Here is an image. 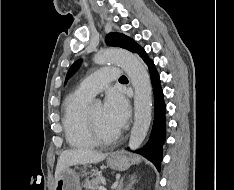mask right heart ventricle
Listing matches in <instances>:
<instances>
[{"mask_svg": "<svg viewBox=\"0 0 234 190\" xmlns=\"http://www.w3.org/2000/svg\"><path fill=\"white\" fill-rule=\"evenodd\" d=\"M91 97L78 93L69 94L63 103V128L68 144L74 148L87 149L97 142L90 133L85 113Z\"/></svg>", "mask_w": 234, "mask_h": 190, "instance_id": "obj_1", "label": "right heart ventricle"}]
</instances>
